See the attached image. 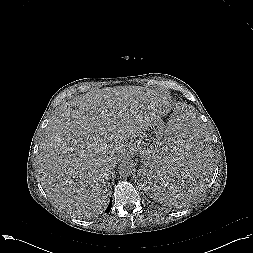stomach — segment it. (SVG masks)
Wrapping results in <instances>:
<instances>
[{
  "label": "stomach",
  "mask_w": 253,
  "mask_h": 253,
  "mask_svg": "<svg viewBox=\"0 0 253 253\" xmlns=\"http://www.w3.org/2000/svg\"><path fill=\"white\" fill-rule=\"evenodd\" d=\"M168 132L162 120L153 122L146 131L130 143L129 150L139 154L145 162L152 152L155 140L163 133Z\"/></svg>",
  "instance_id": "stomach-1"
}]
</instances>
